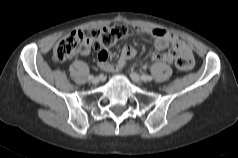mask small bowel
I'll return each instance as SVG.
<instances>
[{"mask_svg":"<svg viewBox=\"0 0 238 158\" xmlns=\"http://www.w3.org/2000/svg\"><path fill=\"white\" fill-rule=\"evenodd\" d=\"M136 30L140 33H145L149 35L154 40V46L157 51H164L170 47L167 52H151L150 58L153 61H162L171 63L177 57H182L189 59L193 62V52L189 45L181 41L175 34L162 29V28H146V27H136ZM91 44L88 43L87 50L90 48ZM136 55V49L130 44L125 43L119 59L115 62L110 61L109 50L103 49L98 54V65L101 69L116 73L120 71L126 62L132 59Z\"/></svg>","mask_w":238,"mask_h":158,"instance_id":"small-bowel-1","label":"small bowel"}]
</instances>
